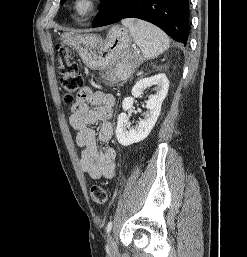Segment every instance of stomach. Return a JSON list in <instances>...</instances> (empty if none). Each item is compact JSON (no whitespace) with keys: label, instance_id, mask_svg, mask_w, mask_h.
I'll return each mask as SVG.
<instances>
[{"label":"stomach","instance_id":"obj_1","mask_svg":"<svg viewBox=\"0 0 247 257\" xmlns=\"http://www.w3.org/2000/svg\"><path fill=\"white\" fill-rule=\"evenodd\" d=\"M61 41L71 46L80 55L84 64L93 70H100L111 65L127 68L126 72L114 69L113 80L119 81L129 77L138 63V56L131 54V36L127 28L112 27L106 38L97 34L62 35Z\"/></svg>","mask_w":247,"mask_h":257}]
</instances>
